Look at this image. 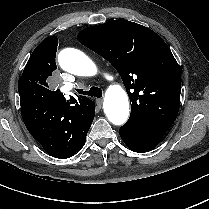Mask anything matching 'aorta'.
<instances>
[{
    "label": "aorta",
    "mask_w": 209,
    "mask_h": 209,
    "mask_svg": "<svg viewBox=\"0 0 209 209\" xmlns=\"http://www.w3.org/2000/svg\"><path fill=\"white\" fill-rule=\"evenodd\" d=\"M58 61L65 71L78 76H93L97 72L95 63L78 49L62 50ZM103 107L108 120L114 125H123L129 117L128 96L120 85H113L107 90Z\"/></svg>",
    "instance_id": "obj_1"
}]
</instances>
